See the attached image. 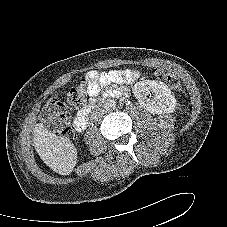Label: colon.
<instances>
[{
    "mask_svg": "<svg viewBox=\"0 0 227 227\" xmlns=\"http://www.w3.org/2000/svg\"><path fill=\"white\" fill-rule=\"evenodd\" d=\"M155 74L158 78L164 80L172 90L179 91L181 89L180 80L175 74L166 72L163 69H156ZM87 95V80L82 79L70 88L67 99L70 103L77 105L81 104ZM42 119L53 134L74 140L75 135L69 125L67 108L58 98L48 100L42 110Z\"/></svg>",
    "mask_w": 227,
    "mask_h": 227,
    "instance_id": "1",
    "label": "colon"
}]
</instances>
